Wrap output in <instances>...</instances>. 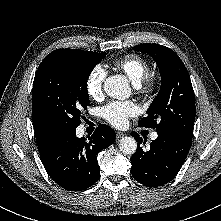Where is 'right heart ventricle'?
Wrapping results in <instances>:
<instances>
[{"label": "right heart ventricle", "mask_w": 221, "mask_h": 221, "mask_svg": "<svg viewBox=\"0 0 221 221\" xmlns=\"http://www.w3.org/2000/svg\"><path fill=\"white\" fill-rule=\"evenodd\" d=\"M114 65L122 70L137 85L150 73L149 61L138 54H128L115 60Z\"/></svg>", "instance_id": "right-heart-ventricle-1"}]
</instances>
